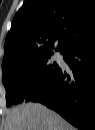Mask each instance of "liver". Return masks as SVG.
Returning <instances> with one entry per match:
<instances>
[{
  "instance_id": "obj_1",
  "label": "liver",
  "mask_w": 95,
  "mask_h": 130,
  "mask_svg": "<svg viewBox=\"0 0 95 130\" xmlns=\"http://www.w3.org/2000/svg\"><path fill=\"white\" fill-rule=\"evenodd\" d=\"M55 111L30 103L11 110L5 130H72Z\"/></svg>"
}]
</instances>
